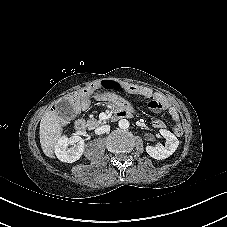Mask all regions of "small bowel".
Listing matches in <instances>:
<instances>
[{
    "mask_svg": "<svg viewBox=\"0 0 227 227\" xmlns=\"http://www.w3.org/2000/svg\"><path fill=\"white\" fill-rule=\"evenodd\" d=\"M114 100L117 104V108L118 111H121L123 113H130L132 111V108L130 107V105L128 104V102L126 100H124L121 97H113L109 94H105L103 96H101L97 102H108V101H112ZM89 107V105H83L82 109H87ZM161 109H169L171 117L173 118V120H177L178 119V114L176 109L170 107L168 104L163 103V105L160 107ZM152 125L155 128L161 129L164 127V122L160 119H153L152 120Z\"/></svg>",
    "mask_w": 227,
    "mask_h": 227,
    "instance_id": "small-bowel-1",
    "label": "small bowel"
}]
</instances>
